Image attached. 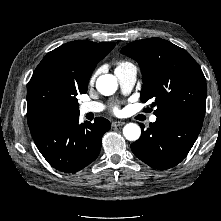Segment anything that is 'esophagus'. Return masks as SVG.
<instances>
[{"mask_svg": "<svg viewBox=\"0 0 221 221\" xmlns=\"http://www.w3.org/2000/svg\"><path fill=\"white\" fill-rule=\"evenodd\" d=\"M124 124H125V122H123V121H113L112 122L113 127L123 126Z\"/></svg>", "mask_w": 221, "mask_h": 221, "instance_id": "1", "label": "esophagus"}]
</instances>
